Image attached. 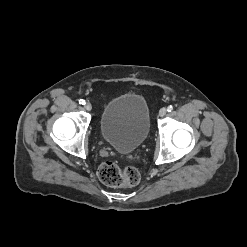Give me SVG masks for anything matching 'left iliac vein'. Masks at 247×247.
Returning a JSON list of instances; mask_svg holds the SVG:
<instances>
[{
  "instance_id": "1",
  "label": "left iliac vein",
  "mask_w": 247,
  "mask_h": 247,
  "mask_svg": "<svg viewBox=\"0 0 247 247\" xmlns=\"http://www.w3.org/2000/svg\"><path fill=\"white\" fill-rule=\"evenodd\" d=\"M166 113H167V109L166 108H161L159 110V116H161V117L165 116Z\"/></svg>"
}]
</instances>
